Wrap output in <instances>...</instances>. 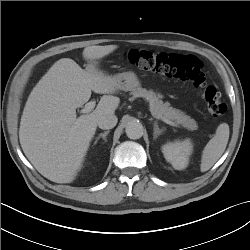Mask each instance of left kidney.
Masks as SVG:
<instances>
[{
  "mask_svg": "<svg viewBox=\"0 0 250 250\" xmlns=\"http://www.w3.org/2000/svg\"><path fill=\"white\" fill-rule=\"evenodd\" d=\"M193 151V145L189 139L184 141L168 142L162 146L165 159L176 170H183L189 163V156Z\"/></svg>",
  "mask_w": 250,
  "mask_h": 250,
  "instance_id": "left-kidney-1",
  "label": "left kidney"
}]
</instances>
